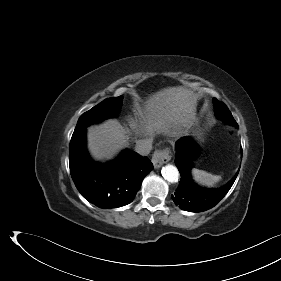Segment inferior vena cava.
Instances as JSON below:
<instances>
[{
    "instance_id": "obj_1",
    "label": "inferior vena cava",
    "mask_w": 281,
    "mask_h": 281,
    "mask_svg": "<svg viewBox=\"0 0 281 281\" xmlns=\"http://www.w3.org/2000/svg\"><path fill=\"white\" fill-rule=\"evenodd\" d=\"M152 150V139H142L136 141L135 151L142 156H146Z\"/></svg>"
}]
</instances>
